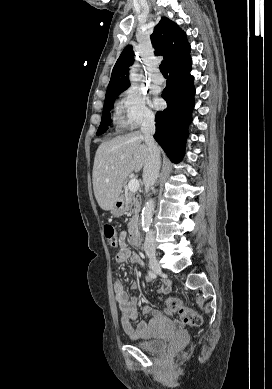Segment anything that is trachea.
Segmentation results:
<instances>
[{
	"mask_svg": "<svg viewBox=\"0 0 272 389\" xmlns=\"http://www.w3.org/2000/svg\"><path fill=\"white\" fill-rule=\"evenodd\" d=\"M159 69H160V72H161L164 76H167V75H168V71H167V67H166L165 63L160 64Z\"/></svg>",
	"mask_w": 272,
	"mask_h": 389,
	"instance_id": "3493384b",
	"label": "trachea"
}]
</instances>
